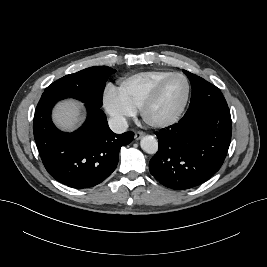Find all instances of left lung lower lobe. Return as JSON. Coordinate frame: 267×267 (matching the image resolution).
Listing matches in <instances>:
<instances>
[{"label": "left lung lower lobe", "instance_id": "obj_1", "mask_svg": "<svg viewBox=\"0 0 267 267\" xmlns=\"http://www.w3.org/2000/svg\"><path fill=\"white\" fill-rule=\"evenodd\" d=\"M212 96L191 99L184 117L156 132L158 152L149 163L151 174L175 190L196 187L222 166L232 132L227 105L213 108Z\"/></svg>", "mask_w": 267, "mask_h": 267}]
</instances>
